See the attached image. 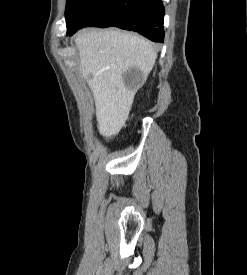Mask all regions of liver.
Listing matches in <instances>:
<instances>
[{
	"label": "liver",
	"mask_w": 247,
	"mask_h": 275,
	"mask_svg": "<svg viewBox=\"0 0 247 275\" xmlns=\"http://www.w3.org/2000/svg\"><path fill=\"white\" fill-rule=\"evenodd\" d=\"M75 43L81 75L93 92L98 130L104 137L113 136L124 126L140 87L127 86L124 73L136 67L145 80L157 50L147 39L113 29L82 31Z\"/></svg>",
	"instance_id": "obj_1"
}]
</instances>
